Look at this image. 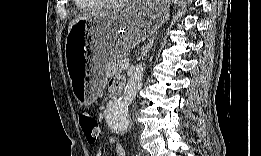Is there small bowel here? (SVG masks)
<instances>
[{"label": "small bowel", "mask_w": 261, "mask_h": 156, "mask_svg": "<svg viewBox=\"0 0 261 156\" xmlns=\"http://www.w3.org/2000/svg\"><path fill=\"white\" fill-rule=\"evenodd\" d=\"M123 86V81L121 79H111L109 82V91L110 93H115ZM111 144L115 145L116 154L118 156H124L126 154L124 147L118 143L115 139L110 140Z\"/></svg>", "instance_id": "c3829d8e"}]
</instances>
